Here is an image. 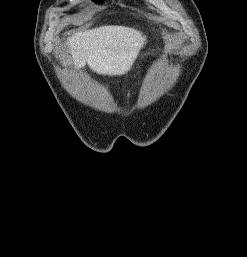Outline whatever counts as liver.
I'll list each match as a JSON object with an SVG mask.
<instances>
[{
  "label": "liver",
  "instance_id": "obj_1",
  "mask_svg": "<svg viewBox=\"0 0 247 257\" xmlns=\"http://www.w3.org/2000/svg\"><path fill=\"white\" fill-rule=\"evenodd\" d=\"M141 32L123 26H102L67 39L76 69L88 64L98 74L120 76L132 68L145 44Z\"/></svg>",
  "mask_w": 247,
  "mask_h": 257
}]
</instances>
